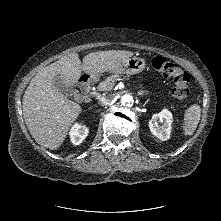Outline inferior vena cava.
Listing matches in <instances>:
<instances>
[{
	"label": "inferior vena cava",
	"mask_w": 221,
	"mask_h": 221,
	"mask_svg": "<svg viewBox=\"0 0 221 221\" xmlns=\"http://www.w3.org/2000/svg\"><path fill=\"white\" fill-rule=\"evenodd\" d=\"M111 101H112L111 96H102L98 99V105L99 106H106V105L110 104Z\"/></svg>",
	"instance_id": "obj_1"
}]
</instances>
